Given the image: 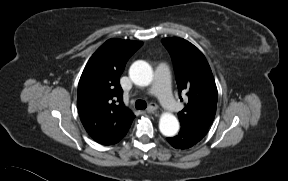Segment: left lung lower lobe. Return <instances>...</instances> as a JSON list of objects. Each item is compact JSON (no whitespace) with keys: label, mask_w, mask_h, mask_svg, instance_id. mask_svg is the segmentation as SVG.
Masks as SVG:
<instances>
[{"label":"left lung lower lobe","mask_w":288,"mask_h":181,"mask_svg":"<svg viewBox=\"0 0 288 181\" xmlns=\"http://www.w3.org/2000/svg\"><path fill=\"white\" fill-rule=\"evenodd\" d=\"M206 133L207 130L205 129L181 128L177 136L167 138V141L174 148L186 149L199 142L206 135Z\"/></svg>","instance_id":"1"}]
</instances>
